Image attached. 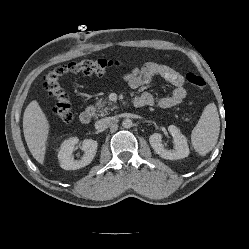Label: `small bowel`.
<instances>
[{
  "instance_id": "1",
  "label": "small bowel",
  "mask_w": 249,
  "mask_h": 249,
  "mask_svg": "<svg viewBox=\"0 0 249 249\" xmlns=\"http://www.w3.org/2000/svg\"><path fill=\"white\" fill-rule=\"evenodd\" d=\"M156 75L173 85L174 89L172 93L169 96L160 97L155 100L149 92H144L135 98V105L137 107H144L156 103L162 109L181 105L186 97L184 77L165 64L147 62L141 66H137L124 75L123 81L130 88L138 89L147 84Z\"/></svg>"
}]
</instances>
